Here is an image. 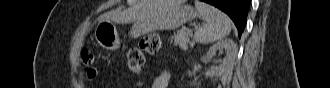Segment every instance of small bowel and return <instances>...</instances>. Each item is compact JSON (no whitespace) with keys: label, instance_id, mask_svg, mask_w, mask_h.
Instances as JSON below:
<instances>
[{"label":"small bowel","instance_id":"1","mask_svg":"<svg viewBox=\"0 0 330 88\" xmlns=\"http://www.w3.org/2000/svg\"><path fill=\"white\" fill-rule=\"evenodd\" d=\"M169 74L162 72L153 82L152 88H166Z\"/></svg>","mask_w":330,"mask_h":88}]
</instances>
